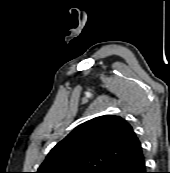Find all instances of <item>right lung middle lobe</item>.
Returning a JSON list of instances; mask_svg holds the SVG:
<instances>
[{"label": "right lung middle lobe", "instance_id": "obj_1", "mask_svg": "<svg viewBox=\"0 0 170 173\" xmlns=\"http://www.w3.org/2000/svg\"><path fill=\"white\" fill-rule=\"evenodd\" d=\"M101 173L102 171H70L69 173Z\"/></svg>", "mask_w": 170, "mask_h": 173}]
</instances>
